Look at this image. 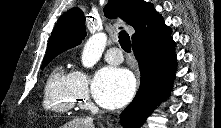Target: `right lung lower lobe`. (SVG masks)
I'll list each match as a JSON object with an SVG mask.
<instances>
[{
  "label": "right lung lower lobe",
  "mask_w": 221,
  "mask_h": 128,
  "mask_svg": "<svg viewBox=\"0 0 221 128\" xmlns=\"http://www.w3.org/2000/svg\"><path fill=\"white\" fill-rule=\"evenodd\" d=\"M175 44L171 37L154 45L134 44L141 83L134 100L121 114L124 128H139L169 93L177 68Z\"/></svg>",
  "instance_id": "obj_1"
}]
</instances>
